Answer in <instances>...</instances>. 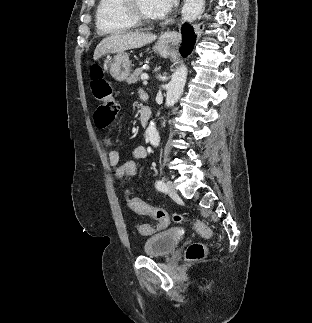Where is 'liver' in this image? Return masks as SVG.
Masks as SVG:
<instances>
[{"label":"liver","mask_w":312,"mask_h":323,"mask_svg":"<svg viewBox=\"0 0 312 323\" xmlns=\"http://www.w3.org/2000/svg\"><path fill=\"white\" fill-rule=\"evenodd\" d=\"M157 36L153 34H139V32H120V34H110L104 38L95 48L93 60H99L105 54H122L125 50L132 48H142L145 44H151Z\"/></svg>","instance_id":"liver-1"}]
</instances>
